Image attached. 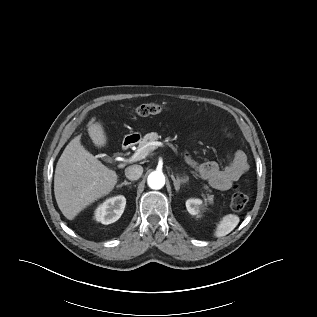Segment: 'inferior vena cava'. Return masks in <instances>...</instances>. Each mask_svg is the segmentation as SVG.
Instances as JSON below:
<instances>
[{"label": "inferior vena cava", "instance_id": "1", "mask_svg": "<svg viewBox=\"0 0 317 317\" xmlns=\"http://www.w3.org/2000/svg\"><path fill=\"white\" fill-rule=\"evenodd\" d=\"M143 173V167L140 165H132L125 169V175L129 180H138Z\"/></svg>", "mask_w": 317, "mask_h": 317}]
</instances>
